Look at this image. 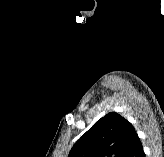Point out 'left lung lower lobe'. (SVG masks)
Listing matches in <instances>:
<instances>
[{"mask_svg":"<svg viewBox=\"0 0 164 157\" xmlns=\"http://www.w3.org/2000/svg\"><path fill=\"white\" fill-rule=\"evenodd\" d=\"M122 157H145L142 144L137 134L131 139Z\"/></svg>","mask_w":164,"mask_h":157,"instance_id":"obj_1","label":"left lung lower lobe"}]
</instances>
